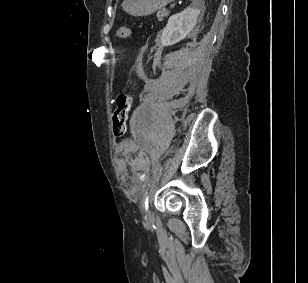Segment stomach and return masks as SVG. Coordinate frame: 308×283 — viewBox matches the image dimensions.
Masks as SVG:
<instances>
[{"label": "stomach", "instance_id": "0dacf381", "mask_svg": "<svg viewBox=\"0 0 308 283\" xmlns=\"http://www.w3.org/2000/svg\"><path fill=\"white\" fill-rule=\"evenodd\" d=\"M173 0H124L123 9L133 16H147L163 8Z\"/></svg>", "mask_w": 308, "mask_h": 283}]
</instances>
